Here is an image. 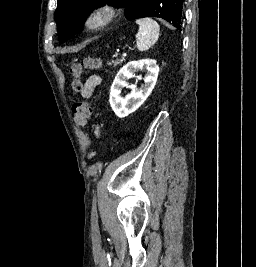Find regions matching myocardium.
<instances>
[{
  "label": "myocardium",
  "instance_id": "1",
  "mask_svg": "<svg viewBox=\"0 0 256 267\" xmlns=\"http://www.w3.org/2000/svg\"><path fill=\"white\" fill-rule=\"evenodd\" d=\"M117 15V10L113 6H103L91 12L84 22L88 31L98 32L111 24Z\"/></svg>",
  "mask_w": 256,
  "mask_h": 267
}]
</instances>
